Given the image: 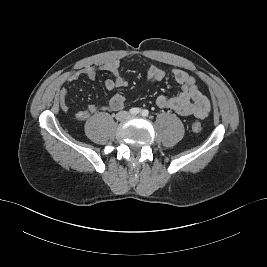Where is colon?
<instances>
[{
	"label": "colon",
	"mask_w": 267,
	"mask_h": 267,
	"mask_svg": "<svg viewBox=\"0 0 267 267\" xmlns=\"http://www.w3.org/2000/svg\"><path fill=\"white\" fill-rule=\"evenodd\" d=\"M192 130L196 133L200 132L202 130V125L200 122H194L192 125Z\"/></svg>",
	"instance_id": "colon-1"
}]
</instances>
